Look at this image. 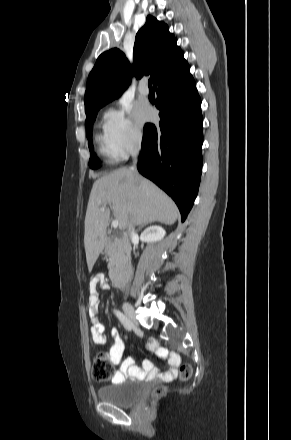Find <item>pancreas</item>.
Instances as JSON below:
<instances>
[{"mask_svg": "<svg viewBox=\"0 0 291 440\" xmlns=\"http://www.w3.org/2000/svg\"><path fill=\"white\" fill-rule=\"evenodd\" d=\"M105 251L109 256V268H112L117 264L123 254V241L121 239L115 238L106 240Z\"/></svg>", "mask_w": 291, "mask_h": 440, "instance_id": "pancreas-1", "label": "pancreas"}]
</instances>
